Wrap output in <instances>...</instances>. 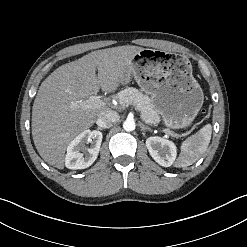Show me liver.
I'll use <instances>...</instances> for the list:
<instances>
[{
    "label": "liver",
    "instance_id": "obj_1",
    "mask_svg": "<svg viewBox=\"0 0 247 247\" xmlns=\"http://www.w3.org/2000/svg\"><path fill=\"white\" fill-rule=\"evenodd\" d=\"M142 50L133 45L96 50L60 66L41 83L32 107L31 126L34 144L45 162L64 168L70 142L109 111L105 106L84 108L81 103L100 88L115 92L125 67Z\"/></svg>",
    "mask_w": 247,
    "mask_h": 247
}]
</instances>
